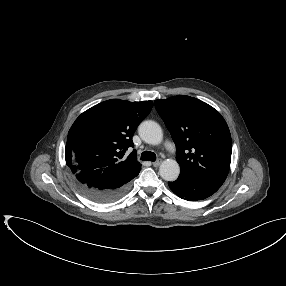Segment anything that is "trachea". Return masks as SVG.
Returning <instances> with one entry per match:
<instances>
[{
  "label": "trachea",
  "mask_w": 286,
  "mask_h": 286,
  "mask_svg": "<svg viewBox=\"0 0 286 286\" xmlns=\"http://www.w3.org/2000/svg\"><path fill=\"white\" fill-rule=\"evenodd\" d=\"M141 160H148L154 162L156 160V154L150 151H144L141 154Z\"/></svg>",
  "instance_id": "1"
}]
</instances>
